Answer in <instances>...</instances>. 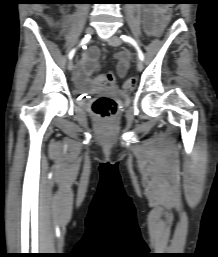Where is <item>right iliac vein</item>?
<instances>
[{
    "label": "right iliac vein",
    "instance_id": "1",
    "mask_svg": "<svg viewBox=\"0 0 218 257\" xmlns=\"http://www.w3.org/2000/svg\"><path fill=\"white\" fill-rule=\"evenodd\" d=\"M93 32V28L91 26H88L86 29H85V33L86 34H91ZM74 68V63L73 61L71 60L68 64V70L69 71H72Z\"/></svg>",
    "mask_w": 218,
    "mask_h": 257
}]
</instances>
